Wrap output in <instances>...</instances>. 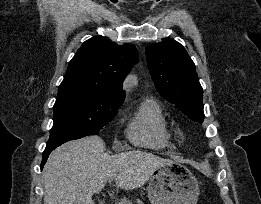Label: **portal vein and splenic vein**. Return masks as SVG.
Masks as SVG:
<instances>
[{"label": "portal vein and splenic vein", "mask_w": 261, "mask_h": 204, "mask_svg": "<svg viewBox=\"0 0 261 204\" xmlns=\"http://www.w3.org/2000/svg\"><path fill=\"white\" fill-rule=\"evenodd\" d=\"M115 177H116V176H111V177H109L108 182L111 183V182L115 179Z\"/></svg>", "instance_id": "obj_1"}]
</instances>
